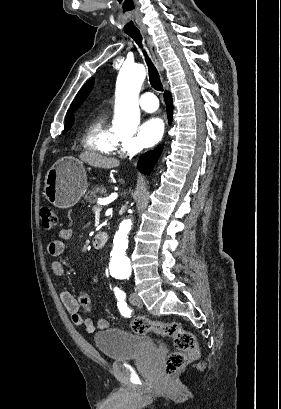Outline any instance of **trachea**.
Listing matches in <instances>:
<instances>
[{
  "label": "trachea",
  "mask_w": 281,
  "mask_h": 409,
  "mask_svg": "<svg viewBox=\"0 0 281 409\" xmlns=\"http://www.w3.org/2000/svg\"><path fill=\"white\" fill-rule=\"evenodd\" d=\"M126 33L127 35H129V37H131L135 41V43L140 47V49H142V52L145 56L146 64L148 66L149 81H150L151 87L154 88V90H157V92H162L163 84L161 82L159 72L143 48L142 36L140 32L137 31V32H126Z\"/></svg>",
  "instance_id": "1"
}]
</instances>
